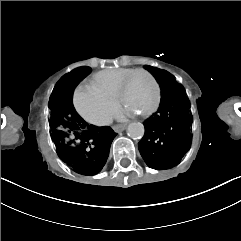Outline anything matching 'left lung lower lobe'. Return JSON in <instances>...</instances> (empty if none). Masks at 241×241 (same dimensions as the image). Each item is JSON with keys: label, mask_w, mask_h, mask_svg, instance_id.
I'll return each instance as SVG.
<instances>
[{"label": "left lung lower lobe", "mask_w": 241, "mask_h": 241, "mask_svg": "<svg viewBox=\"0 0 241 241\" xmlns=\"http://www.w3.org/2000/svg\"><path fill=\"white\" fill-rule=\"evenodd\" d=\"M189 108L182 86L161 93L159 109L145 120V135L138 143L140 154L150 168H172L188 151L192 123Z\"/></svg>", "instance_id": "1"}]
</instances>
